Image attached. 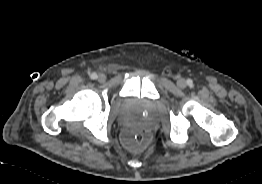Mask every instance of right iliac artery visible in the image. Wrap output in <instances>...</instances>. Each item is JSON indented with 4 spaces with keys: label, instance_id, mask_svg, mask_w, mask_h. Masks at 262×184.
Listing matches in <instances>:
<instances>
[{
    "label": "right iliac artery",
    "instance_id": "obj_1",
    "mask_svg": "<svg viewBox=\"0 0 262 184\" xmlns=\"http://www.w3.org/2000/svg\"><path fill=\"white\" fill-rule=\"evenodd\" d=\"M90 77H91V79H97V74L95 73V72H93V73H91V75H90Z\"/></svg>",
    "mask_w": 262,
    "mask_h": 184
}]
</instances>
